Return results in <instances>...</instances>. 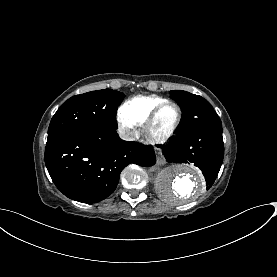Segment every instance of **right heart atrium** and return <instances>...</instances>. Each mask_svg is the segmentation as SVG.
I'll return each instance as SVG.
<instances>
[{
	"label": "right heart atrium",
	"mask_w": 277,
	"mask_h": 277,
	"mask_svg": "<svg viewBox=\"0 0 277 277\" xmlns=\"http://www.w3.org/2000/svg\"><path fill=\"white\" fill-rule=\"evenodd\" d=\"M135 124L129 120L121 119V127L126 132L129 133L134 129Z\"/></svg>",
	"instance_id": "right-heart-atrium-1"
}]
</instances>
